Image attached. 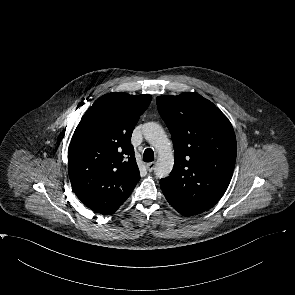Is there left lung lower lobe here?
<instances>
[{"label":"left lung lower lobe","mask_w":295,"mask_h":295,"mask_svg":"<svg viewBox=\"0 0 295 295\" xmlns=\"http://www.w3.org/2000/svg\"><path fill=\"white\" fill-rule=\"evenodd\" d=\"M164 195H165L167 201L170 203V205H172V206L176 209V206H175V202H174V200L171 199L169 196H167L165 193H164ZM181 214H182V213H181ZM182 215H184V214H182ZM184 216H185V215H184Z\"/></svg>","instance_id":"1"}]
</instances>
